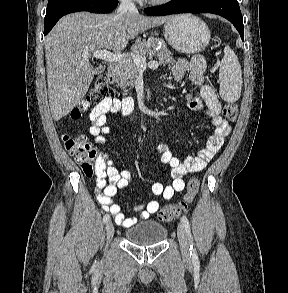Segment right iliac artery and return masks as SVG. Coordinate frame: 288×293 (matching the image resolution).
<instances>
[{
	"instance_id": "right-iliac-artery-1",
	"label": "right iliac artery",
	"mask_w": 288,
	"mask_h": 293,
	"mask_svg": "<svg viewBox=\"0 0 288 293\" xmlns=\"http://www.w3.org/2000/svg\"><path fill=\"white\" fill-rule=\"evenodd\" d=\"M109 219H110L109 214L104 215V217H103V223H107L109 221Z\"/></svg>"
}]
</instances>
